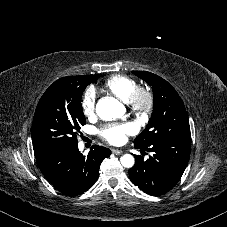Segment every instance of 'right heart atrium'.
I'll list each match as a JSON object with an SVG mask.
<instances>
[{
	"mask_svg": "<svg viewBox=\"0 0 227 227\" xmlns=\"http://www.w3.org/2000/svg\"><path fill=\"white\" fill-rule=\"evenodd\" d=\"M97 94L94 89H88L82 98L81 108L86 117H92L96 112Z\"/></svg>",
	"mask_w": 227,
	"mask_h": 227,
	"instance_id": "1",
	"label": "right heart atrium"
}]
</instances>
